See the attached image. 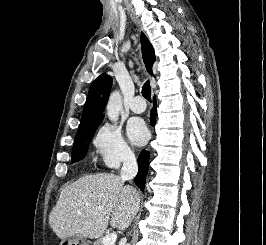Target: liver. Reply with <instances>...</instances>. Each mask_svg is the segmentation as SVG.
Returning <instances> with one entry per match:
<instances>
[{
	"label": "liver",
	"instance_id": "liver-1",
	"mask_svg": "<svg viewBox=\"0 0 266 245\" xmlns=\"http://www.w3.org/2000/svg\"><path fill=\"white\" fill-rule=\"evenodd\" d=\"M117 175H86L65 185L49 215L52 231L59 239L103 237L109 223L124 231L131 225L140 207V193L134 187H123Z\"/></svg>",
	"mask_w": 266,
	"mask_h": 245
}]
</instances>
